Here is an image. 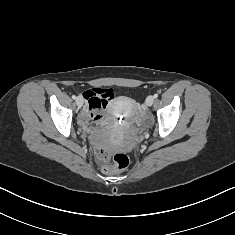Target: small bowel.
I'll list each match as a JSON object with an SVG mask.
<instances>
[{"instance_id":"obj_1","label":"small bowel","mask_w":235,"mask_h":235,"mask_svg":"<svg viewBox=\"0 0 235 235\" xmlns=\"http://www.w3.org/2000/svg\"><path fill=\"white\" fill-rule=\"evenodd\" d=\"M104 93L106 90L101 89H86L82 92L85 107L80 114V121L84 126L111 124L119 117L122 109H128L131 105L127 97H111L104 105L101 102Z\"/></svg>"}]
</instances>
